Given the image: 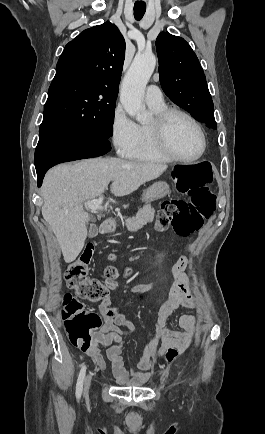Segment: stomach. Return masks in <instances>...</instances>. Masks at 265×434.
Segmentation results:
<instances>
[{"instance_id":"1","label":"stomach","mask_w":265,"mask_h":434,"mask_svg":"<svg viewBox=\"0 0 265 434\" xmlns=\"http://www.w3.org/2000/svg\"><path fill=\"white\" fill-rule=\"evenodd\" d=\"M169 192L170 188L166 182H155V184L149 186L147 190H144L141 200L145 202V204H150V202H154V200L164 198Z\"/></svg>"}]
</instances>
